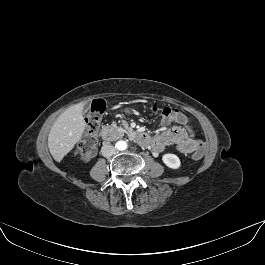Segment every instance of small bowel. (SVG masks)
Segmentation results:
<instances>
[{"instance_id":"obj_1","label":"small bowel","mask_w":265,"mask_h":265,"mask_svg":"<svg viewBox=\"0 0 265 265\" xmlns=\"http://www.w3.org/2000/svg\"><path fill=\"white\" fill-rule=\"evenodd\" d=\"M160 123L164 127H168L172 123H178L179 126L167 128L151 140L150 145L155 151H163L170 145H174L179 152L184 154L204 148L203 142L195 137L193 130L187 125L186 121L182 122L173 118L161 117Z\"/></svg>"}]
</instances>
